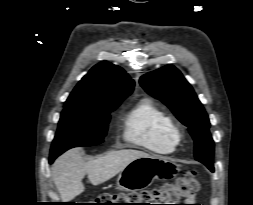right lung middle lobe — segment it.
I'll return each mask as SVG.
<instances>
[{"mask_svg": "<svg viewBox=\"0 0 253 205\" xmlns=\"http://www.w3.org/2000/svg\"><path fill=\"white\" fill-rule=\"evenodd\" d=\"M122 99L103 103L96 108L65 107L52 143L50 156H59L76 146H94L103 142L108 129L110 112Z\"/></svg>", "mask_w": 253, "mask_h": 205, "instance_id": "right-lung-middle-lobe-1", "label": "right lung middle lobe"}]
</instances>
